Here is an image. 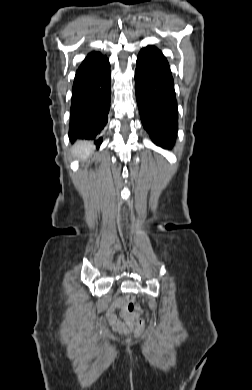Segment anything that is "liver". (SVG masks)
I'll return each mask as SVG.
<instances>
[{
	"label": "liver",
	"mask_w": 252,
	"mask_h": 390,
	"mask_svg": "<svg viewBox=\"0 0 252 390\" xmlns=\"http://www.w3.org/2000/svg\"><path fill=\"white\" fill-rule=\"evenodd\" d=\"M94 147L90 142L87 141H77L73 152L75 156L87 159L88 156L92 153Z\"/></svg>",
	"instance_id": "6515ba94"
}]
</instances>
